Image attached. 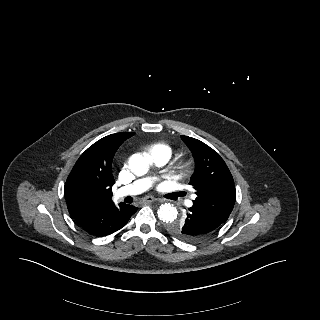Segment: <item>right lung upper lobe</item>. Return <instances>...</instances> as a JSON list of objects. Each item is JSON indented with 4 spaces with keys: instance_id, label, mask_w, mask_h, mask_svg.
I'll return each instance as SVG.
<instances>
[{
    "instance_id": "1",
    "label": "right lung upper lobe",
    "mask_w": 320,
    "mask_h": 320,
    "mask_svg": "<svg viewBox=\"0 0 320 320\" xmlns=\"http://www.w3.org/2000/svg\"><path fill=\"white\" fill-rule=\"evenodd\" d=\"M134 132L108 135L91 145L77 160L64 187L71 216L113 202L111 188L115 183L112 160L119 146Z\"/></svg>"
}]
</instances>
